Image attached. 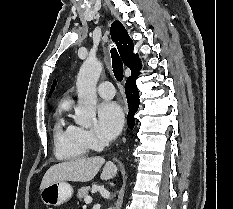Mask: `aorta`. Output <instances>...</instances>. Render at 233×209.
Masks as SVG:
<instances>
[{
  "label": "aorta",
  "mask_w": 233,
  "mask_h": 209,
  "mask_svg": "<svg viewBox=\"0 0 233 209\" xmlns=\"http://www.w3.org/2000/svg\"><path fill=\"white\" fill-rule=\"evenodd\" d=\"M102 63L97 59H87L77 76L78 105L75 108L76 124L89 128L96 119V86L102 71Z\"/></svg>",
  "instance_id": "aorta-1"
}]
</instances>
